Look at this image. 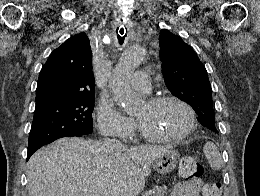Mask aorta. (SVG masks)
<instances>
[{"label": "aorta", "instance_id": "obj_1", "mask_svg": "<svg viewBox=\"0 0 260 196\" xmlns=\"http://www.w3.org/2000/svg\"><path fill=\"white\" fill-rule=\"evenodd\" d=\"M145 56L141 47H131L124 51L113 70L110 83L114 100L119 103L127 113H133L140 102L138 96L130 87V78Z\"/></svg>", "mask_w": 260, "mask_h": 196}]
</instances>
